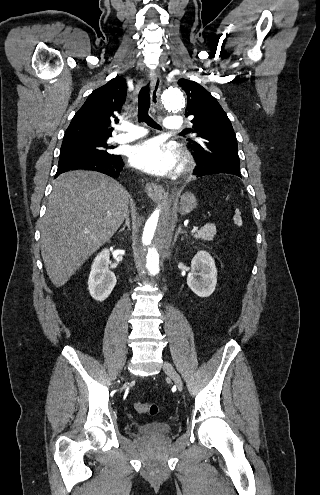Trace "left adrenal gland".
Listing matches in <instances>:
<instances>
[{
  "instance_id": "1",
  "label": "left adrenal gland",
  "mask_w": 320,
  "mask_h": 495,
  "mask_svg": "<svg viewBox=\"0 0 320 495\" xmlns=\"http://www.w3.org/2000/svg\"><path fill=\"white\" fill-rule=\"evenodd\" d=\"M180 234L186 235L185 231H183V230H182L181 226H179V228H178V230H177V232H176V234H175V239H174V241H176V240H177V237H178V235H180Z\"/></svg>"
}]
</instances>
